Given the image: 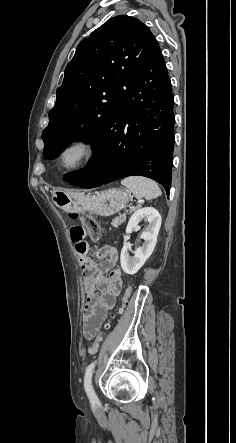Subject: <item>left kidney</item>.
Listing matches in <instances>:
<instances>
[{"label": "left kidney", "mask_w": 236, "mask_h": 443, "mask_svg": "<svg viewBox=\"0 0 236 443\" xmlns=\"http://www.w3.org/2000/svg\"><path fill=\"white\" fill-rule=\"evenodd\" d=\"M141 221L148 222L146 231L142 232L140 236L144 240L143 245L135 250L134 257H130L128 253L129 243L127 242L129 236L126 235L121 250L120 264L123 271L129 275L137 273L146 260L151 256L161 227V216L159 212L155 208L145 207L136 210L130 217L126 227V234L132 233Z\"/></svg>", "instance_id": "obj_1"}]
</instances>
